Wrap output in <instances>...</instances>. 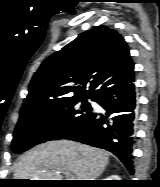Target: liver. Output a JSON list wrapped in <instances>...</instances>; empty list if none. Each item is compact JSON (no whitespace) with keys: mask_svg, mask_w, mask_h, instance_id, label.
Returning a JSON list of instances; mask_svg holds the SVG:
<instances>
[{"mask_svg":"<svg viewBox=\"0 0 160 187\" xmlns=\"http://www.w3.org/2000/svg\"><path fill=\"white\" fill-rule=\"evenodd\" d=\"M108 162L104 150L68 140L49 141L20 158L14 179L61 180L60 173L69 172L75 180H96Z\"/></svg>","mask_w":160,"mask_h":187,"instance_id":"6515ba94","label":"liver"}]
</instances>
